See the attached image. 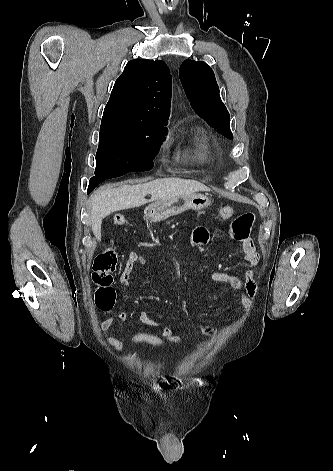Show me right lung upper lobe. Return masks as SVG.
I'll return each instance as SVG.
<instances>
[{
	"mask_svg": "<svg viewBox=\"0 0 333 471\" xmlns=\"http://www.w3.org/2000/svg\"><path fill=\"white\" fill-rule=\"evenodd\" d=\"M170 96L171 76L163 61L131 60L115 81L102 119L166 125Z\"/></svg>",
	"mask_w": 333,
	"mask_h": 471,
	"instance_id": "1",
	"label": "right lung upper lobe"
}]
</instances>
